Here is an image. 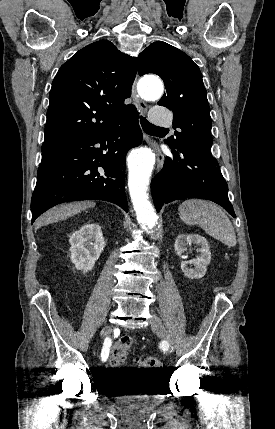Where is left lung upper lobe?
Instances as JSON below:
<instances>
[{
	"instance_id": "5c2ea615",
	"label": "left lung upper lobe",
	"mask_w": 275,
	"mask_h": 429,
	"mask_svg": "<svg viewBox=\"0 0 275 429\" xmlns=\"http://www.w3.org/2000/svg\"><path fill=\"white\" fill-rule=\"evenodd\" d=\"M138 73L159 75L166 92L158 102L173 111L175 137L166 142L179 149L196 144L208 149L212 146L210 107L202 74L193 60L181 50L157 41L138 56Z\"/></svg>"
}]
</instances>
